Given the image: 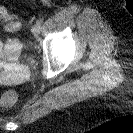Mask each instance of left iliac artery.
I'll return each instance as SVG.
<instances>
[{
  "mask_svg": "<svg viewBox=\"0 0 133 133\" xmlns=\"http://www.w3.org/2000/svg\"><path fill=\"white\" fill-rule=\"evenodd\" d=\"M43 21H44L43 18H39V19L37 20V23L41 25V24L43 23Z\"/></svg>",
  "mask_w": 133,
  "mask_h": 133,
  "instance_id": "44dca946",
  "label": "left iliac artery"
}]
</instances>
